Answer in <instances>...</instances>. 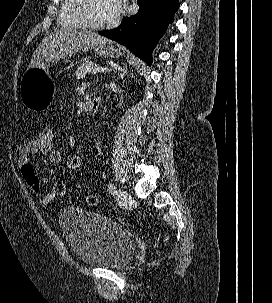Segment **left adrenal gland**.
I'll return each mask as SVG.
<instances>
[{
    "instance_id": "a2214340",
    "label": "left adrenal gland",
    "mask_w": 272,
    "mask_h": 303,
    "mask_svg": "<svg viewBox=\"0 0 272 303\" xmlns=\"http://www.w3.org/2000/svg\"><path fill=\"white\" fill-rule=\"evenodd\" d=\"M127 73H128L127 68L121 69V72L119 74L120 78L123 79L126 76Z\"/></svg>"
}]
</instances>
